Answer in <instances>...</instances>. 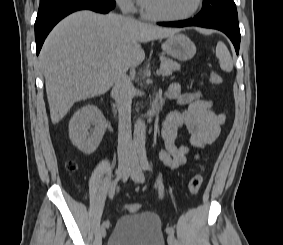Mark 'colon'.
<instances>
[{
    "instance_id": "obj_1",
    "label": "colon",
    "mask_w": 283,
    "mask_h": 245,
    "mask_svg": "<svg viewBox=\"0 0 283 245\" xmlns=\"http://www.w3.org/2000/svg\"><path fill=\"white\" fill-rule=\"evenodd\" d=\"M209 80H210V83L214 86H218V85H221L223 83L222 76L217 72H211V74L209 76ZM75 168H76L75 164L72 161H70L68 163V169L73 171V170H75ZM202 183H203L202 173L198 172L194 176H192L191 179L188 182L189 192L191 194H198L201 190ZM125 208L130 213H135V212H138V210H139V206L135 203L126 204Z\"/></svg>"
}]
</instances>
